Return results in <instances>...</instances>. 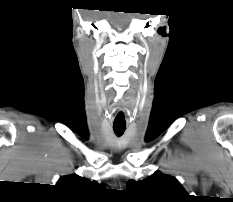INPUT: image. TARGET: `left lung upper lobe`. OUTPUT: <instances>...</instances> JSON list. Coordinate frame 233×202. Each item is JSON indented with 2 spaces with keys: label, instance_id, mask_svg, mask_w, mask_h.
I'll return each mask as SVG.
<instances>
[{
  "label": "left lung upper lobe",
  "instance_id": "obj_1",
  "mask_svg": "<svg viewBox=\"0 0 233 202\" xmlns=\"http://www.w3.org/2000/svg\"><path fill=\"white\" fill-rule=\"evenodd\" d=\"M127 190L149 202H180L188 197L174 177L159 172L143 181L130 180L127 183Z\"/></svg>",
  "mask_w": 233,
  "mask_h": 202
}]
</instances>
